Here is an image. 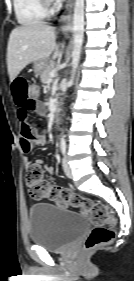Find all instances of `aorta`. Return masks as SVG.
<instances>
[{"label":"aorta","mask_w":134,"mask_h":281,"mask_svg":"<svg viewBox=\"0 0 134 281\" xmlns=\"http://www.w3.org/2000/svg\"><path fill=\"white\" fill-rule=\"evenodd\" d=\"M84 0H75L73 15V51H72V71L69 85L74 83L76 69L78 67L84 33Z\"/></svg>","instance_id":"obj_1"}]
</instances>
